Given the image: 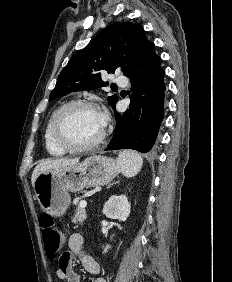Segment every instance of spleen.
Masks as SVG:
<instances>
[{
  "label": "spleen",
  "instance_id": "3e777b00",
  "mask_svg": "<svg viewBox=\"0 0 232 282\" xmlns=\"http://www.w3.org/2000/svg\"><path fill=\"white\" fill-rule=\"evenodd\" d=\"M117 165L123 175L132 177L142 168L143 158L137 152L125 150L119 152Z\"/></svg>",
  "mask_w": 232,
  "mask_h": 282
}]
</instances>
